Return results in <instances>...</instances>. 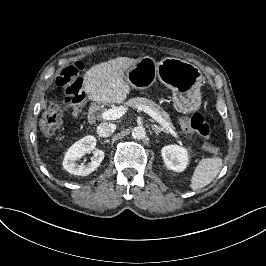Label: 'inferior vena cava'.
Listing matches in <instances>:
<instances>
[{
    "instance_id": "602c4592",
    "label": "inferior vena cava",
    "mask_w": 266,
    "mask_h": 266,
    "mask_svg": "<svg viewBox=\"0 0 266 266\" xmlns=\"http://www.w3.org/2000/svg\"><path fill=\"white\" fill-rule=\"evenodd\" d=\"M116 127L112 123L102 122L97 126V134L100 137H109L114 131Z\"/></svg>"
}]
</instances>
